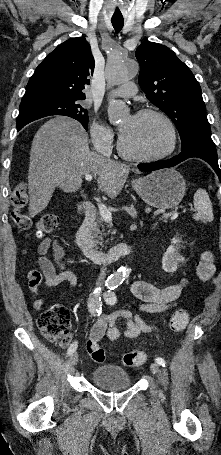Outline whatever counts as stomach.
<instances>
[{
    "mask_svg": "<svg viewBox=\"0 0 221 455\" xmlns=\"http://www.w3.org/2000/svg\"><path fill=\"white\" fill-rule=\"evenodd\" d=\"M132 184L145 203L163 210L176 207L186 191L185 180L175 169L154 171L134 180Z\"/></svg>",
    "mask_w": 221,
    "mask_h": 455,
    "instance_id": "0dacf381",
    "label": "stomach"
}]
</instances>
